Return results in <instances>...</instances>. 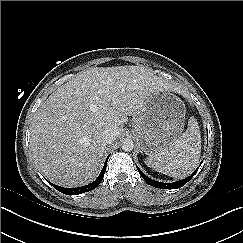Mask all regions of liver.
I'll use <instances>...</instances> for the list:
<instances>
[{"instance_id": "6515ba94", "label": "liver", "mask_w": 243, "mask_h": 243, "mask_svg": "<svg viewBox=\"0 0 243 243\" xmlns=\"http://www.w3.org/2000/svg\"><path fill=\"white\" fill-rule=\"evenodd\" d=\"M182 89L142 66L94 67L55 90L36 111L29 146L40 172L63 187L92 182L107 150L102 133L123 132L153 94Z\"/></svg>"}]
</instances>
